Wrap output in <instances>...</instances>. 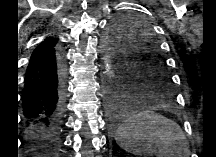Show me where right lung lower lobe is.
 I'll return each instance as SVG.
<instances>
[{
	"label": "right lung lower lobe",
	"mask_w": 216,
	"mask_h": 157,
	"mask_svg": "<svg viewBox=\"0 0 216 157\" xmlns=\"http://www.w3.org/2000/svg\"><path fill=\"white\" fill-rule=\"evenodd\" d=\"M22 102L30 157H55L63 109L62 67L55 50L29 62Z\"/></svg>",
	"instance_id": "obj_1"
}]
</instances>
